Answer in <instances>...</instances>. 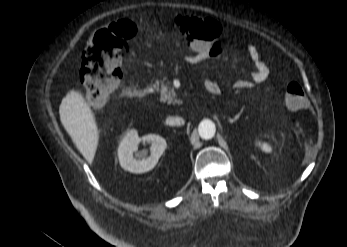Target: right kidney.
Returning a JSON list of instances; mask_svg holds the SVG:
<instances>
[{
	"label": "right kidney",
	"mask_w": 347,
	"mask_h": 247,
	"mask_svg": "<svg viewBox=\"0 0 347 247\" xmlns=\"http://www.w3.org/2000/svg\"><path fill=\"white\" fill-rule=\"evenodd\" d=\"M141 141L151 143V155L146 157L145 151H138ZM166 141L156 134H148L139 138L136 130H131L122 139L118 147V158L121 167L131 173H145L152 170L166 149Z\"/></svg>",
	"instance_id": "1"
}]
</instances>
